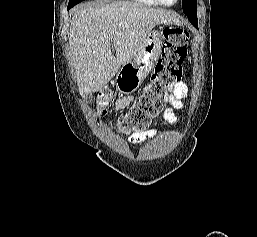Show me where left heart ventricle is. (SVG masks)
<instances>
[{"instance_id":"1","label":"left heart ventricle","mask_w":257,"mask_h":237,"mask_svg":"<svg viewBox=\"0 0 257 237\" xmlns=\"http://www.w3.org/2000/svg\"><path fill=\"white\" fill-rule=\"evenodd\" d=\"M167 3H173L175 0H164Z\"/></svg>"}]
</instances>
